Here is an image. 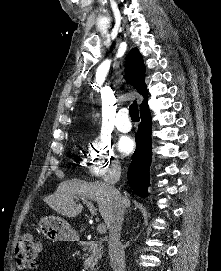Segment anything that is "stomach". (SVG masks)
<instances>
[{"label":"stomach","mask_w":221,"mask_h":271,"mask_svg":"<svg viewBox=\"0 0 221 271\" xmlns=\"http://www.w3.org/2000/svg\"><path fill=\"white\" fill-rule=\"evenodd\" d=\"M39 227L43 235L51 241H75L79 237L68 221L56 215L41 217Z\"/></svg>","instance_id":"1"}]
</instances>
